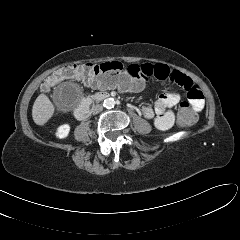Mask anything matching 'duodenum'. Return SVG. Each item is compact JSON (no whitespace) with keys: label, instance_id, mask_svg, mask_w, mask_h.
<instances>
[{"label":"duodenum","instance_id":"duodenum-1","mask_svg":"<svg viewBox=\"0 0 240 240\" xmlns=\"http://www.w3.org/2000/svg\"><path fill=\"white\" fill-rule=\"evenodd\" d=\"M109 95L105 92H100L94 95L92 99L85 100L75 109V116L79 120H83L88 117L91 106L94 101H102L108 98Z\"/></svg>","mask_w":240,"mask_h":240}]
</instances>
